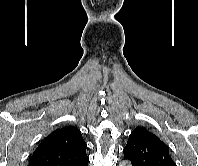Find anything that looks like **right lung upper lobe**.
Here are the masks:
<instances>
[{
  "label": "right lung upper lobe",
  "mask_w": 198,
  "mask_h": 166,
  "mask_svg": "<svg viewBox=\"0 0 198 166\" xmlns=\"http://www.w3.org/2000/svg\"><path fill=\"white\" fill-rule=\"evenodd\" d=\"M86 148L81 132L65 126L41 141L28 166H83L89 162Z\"/></svg>",
  "instance_id": "1"
}]
</instances>
